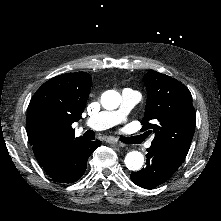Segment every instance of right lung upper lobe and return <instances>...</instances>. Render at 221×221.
<instances>
[{"label":"right lung upper lobe","instance_id":"right-lung-upper-lobe-1","mask_svg":"<svg viewBox=\"0 0 221 221\" xmlns=\"http://www.w3.org/2000/svg\"><path fill=\"white\" fill-rule=\"evenodd\" d=\"M92 84L88 73H66L45 82L33 95L26 120L28 139L42 165L75 137Z\"/></svg>","mask_w":221,"mask_h":221}]
</instances>
